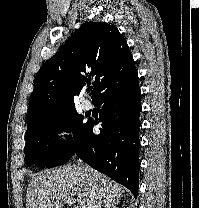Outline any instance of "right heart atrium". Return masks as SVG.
Listing matches in <instances>:
<instances>
[{
	"label": "right heart atrium",
	"mask_w": 199,
	"mask_h": 208,
	"mask_svg": "<svg viewBox=\"0 0 199 208\" xmlns=\"http://www.w3.org/2000/svg\"><path fill=\"white\" fill-rule=\"evenodd\" d=\"M73 142V131L71 126L67 123H61L57 126L54 132V145L58 150H65Z\"/></svg>",
	"instance_id": "right-heart-atrium-1"
}]
</instances>
